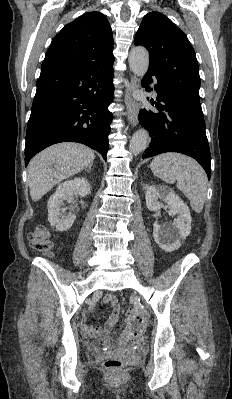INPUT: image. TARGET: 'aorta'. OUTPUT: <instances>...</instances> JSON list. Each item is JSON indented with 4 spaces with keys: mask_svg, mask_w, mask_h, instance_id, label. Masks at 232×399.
<instances>
[{
    "mask_svg": "<svg viewBox=\"0 0 232 399\" xmlns=\"http://www.w3.org/2000/svg\"><path fill=\"white\" fill-rule=\"evenodd\" d=\"M129 66L136 76H144L149 67L148 51L141 46L132 48L129 55ZM149 140L150 138L147 130H137L130 140V151L135 155L141 153L149 145Z\"/></svg>",
    "mask_w": 232,
    "mask_h": 399,
    "instance_id": "762f6f07",
    "label": "aorta"
}]
</instances>
